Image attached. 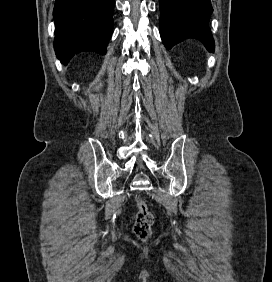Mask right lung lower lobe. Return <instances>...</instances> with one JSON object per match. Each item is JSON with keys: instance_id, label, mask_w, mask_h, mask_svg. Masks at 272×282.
I'll use <instances>...</instances> for the list:
<instances>
[{"instance_id": "1", "label": "right lung lower lobe", "mask_w": 272, "mask_h": 282, "mask_svg": "<svg viewBox=\"0 0 272 282\" xmlns=\"http://www.w3.org/2000/svg\"><path fill=\"white\" fill-rule=\"evenodd\" d=\"M114 0H56L54 49L61 63L83 51L104 55L113 32Z\"/></svg>"}]
</instances>
